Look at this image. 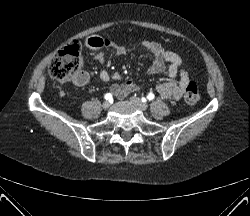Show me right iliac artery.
Instances as JSON below:
<instances>
[{"label":"right iliac artery","mask_w":250,"mask_h":216,"mask_svg":"<svg viewBox=\"0 0 250 216\" xmlns=\"http://www.w3.org/2000/svg\"><path fill=\"white\" fill-rule=\"evenodd\" d=\"M105 99H106V100H111V99H112V94H111V93H107V94L105 95Z\"/></svg>","instance_id":"right-iliac-artery-1"}]
</instances>
